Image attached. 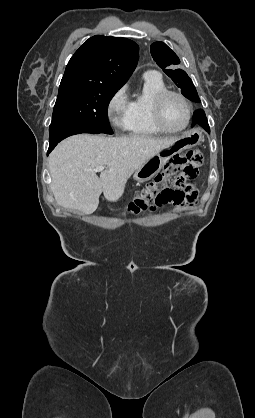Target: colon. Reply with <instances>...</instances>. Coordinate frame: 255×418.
Returning a JSON list of instances; mask_svg holds the SVG:
<instances>
[{"label":"colon","mask_w":255,"mask_h":418,"mask_svg":"<svg viewBox=\"0 0 255 418\" xmlns=\"http://www.w3.org/2000/svg\"><path fill=\"white\" fill-rule=\"evenodd\" d=\"M202 162V153L197 149L170 159L162 175L149 182L129 203L127 214L137 216L165 204L180 206L196 203L198 191L190 182L197 177ZM170 179L176 189L166 185Z\"/></svg>","instance_id":"1"}]
</instances>
